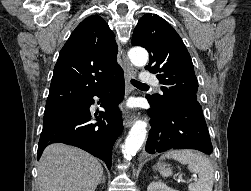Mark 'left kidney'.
<instances>
[{
	"instance_id": "obj_1",
	"label": "left kidney",
	"mask_w": 251,
	"mask_h": 191,
	"mask_svg": "<svg viewBox=\"0 0 251 191\" xmlns=\"http://www.w3.org/2000/svg\"><path fill=\"white\" fill-rule=\"evenodd\" d=\"M147 191H177V189L168 187V185L162 183V181H151L147 187Z\"/></svg>"
}]
</instances>
